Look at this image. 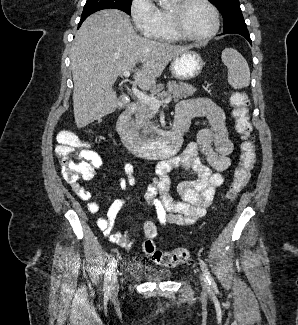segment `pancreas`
Instances as JSON below:
<instances>
[{"label": "pancreas", "mask_w": 298, "mask_h": 325, "mask_svg": "<svg viewBox=\"0 0 298 325\" xmlns=\"http://www.w3.org/2000/svg\"><path fill=\"white\" fill-rule=\"evenodd\" d=\"M167 90H164V84H157L156 88H151L152 94H157V98H163V96H171L174 102H178L179 98H186V96H192L196 92L194 84L190 82H176V80H169L166 84ZM134 120L131 122L132 128L137 132L140 138H156L158 120H153L156 114L152 110L149 104L145 102H136V110L134 112Z\"/></svg>", "instance_id": "1"}]
</instances>
